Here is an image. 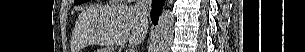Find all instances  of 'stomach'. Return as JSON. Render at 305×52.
<instances>
[{
    "instance_id": "0dacf381",
    "label": "stomach",
    "mask_w": 305,
    "mask_h": 52,
    "mask_svg": "<svg viewBox=\"0 0 305 52\" xmlns=\"http://www.w3.org/2000/svg\"><path fill=\"white\" fill-rule=\"evenodd\" d=\"M96 52H113V51H110L109 49H98Z\"/></svg>"
}]
</instances>
